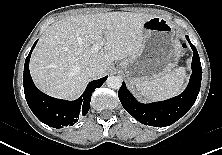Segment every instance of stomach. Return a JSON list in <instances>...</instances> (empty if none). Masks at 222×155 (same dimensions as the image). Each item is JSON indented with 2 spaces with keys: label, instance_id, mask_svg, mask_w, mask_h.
<instances>
[{
  "label": "stomach",
  "instance_id": "1",
  "mask_svg": "<svg viewBox=\"0 0 222 155\" xmlns=\"http://www.w3.org/2000/svg\"><path fill=\"white\" fill-rule=\"evenodd\" d=\"M143 49L121 62L129 82L162 77L176 66L181 55V45L174 24L154 16L143 24Z\"/></svg>",
  "mask_w": 222,
  "mask_h": 155
}]
</instances>
